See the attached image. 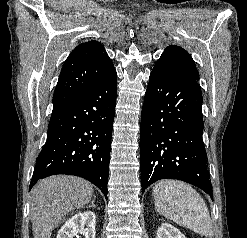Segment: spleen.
I'll return each instance as SVG.
<instances>
[{"instance_id":"obj_1","label":"spleen","mask_w":247,"mask_h":238,"mask_svg":"<svg viewBox=\"0 0 247 238\" xmlns=\"http://www.w3.org/2000/svg\"><path fill=\"white\" fill-rule=\"evenodd\" d=\"M156 210L180 226L210 237L213 235L208 208L190 185L176 180H161L153 188Z\"/></svg>"}]
</instances>
